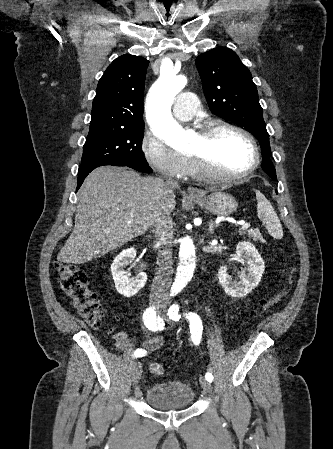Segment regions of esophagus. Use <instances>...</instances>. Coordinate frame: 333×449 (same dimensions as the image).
<instances>
[{"label":"esophagus","mask_w":333,"mask_h":449,"mask_svg":"<svg viewBox=\"0 0 333 449\" xmlns=\"http://www.w3.org/2000/svg\"><path fill=\"white\" fill-rule=\"evenodd\" d=\"M187 192H188V195L191 197H200L201 196L200 190L195 187H188Z\"/></svg>","instance_id":"34e87169"}]
</instances>
